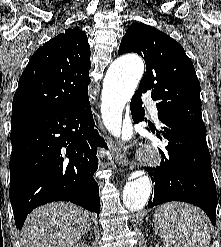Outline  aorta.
I'll return each mask as SVG.
<instances>
[{"label":"aorta","instance_id":"aorta-1","mask_svg":"<svg viewBox=\"0 0 221 247\" xmlns=\"http://www.w3.org/2000/svg\"><path fill=\"white\" fill-rule=\"evenodd\" d=\"M144 72L143 60L135 55L120 57L108 68L102 90V117L114 135L121 132L122 114ZM151 180L144 175L126 183L123 203L131 211L142 209L149 200Z\"/></svg>","mask_w":221,"mask_h":247}]
</instances>
